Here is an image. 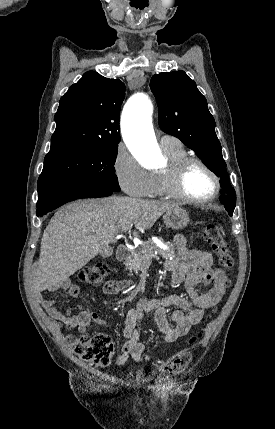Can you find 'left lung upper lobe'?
<instances>
[{
	"mask_svg": "<svg viewBox=\"0 0 275 429\" xmlns=\"http://www.w3.org/2000/svg\"><path fill=\"white\" fill-rule=\"evenodd\" d=\"M150 87L159 105L160 128L194 150L220 177L221 187L225 191V197L220 201L232 216L236 194L229 181L221 144L215 133V121L208 110L206 98L184 71L155 74Z\"/></svg>",
	"mask_w": 275,
	"mask_h": 429,
	"instance_id": "5c2ea615",
	"label": "left lung upper lobe"
}]
</instances>
